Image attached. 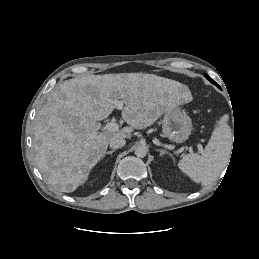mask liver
I'll use <instances>...</instances> for the list:
<instances>
[{"label": "liver", "mask_w": 259, "mask_h": 259, "mask_svg": "<svg viewBox=\"0 0 259 259\" xmlns=\"http://www.w3.org/2000/svg\"><path fill=\"white\" fill-rule=\"evenodd\" d=\"M182 84L154 74L88 75L64 81L37 112L33 148L43 178L70 193L82 185L105 154L112 138H129L134 129L151 126L166 111L191 101ZM124 101L129 125L117 132L99 131L115 102Z\"/></svg>", "instance_id": "obj_1"}]
</instances>
